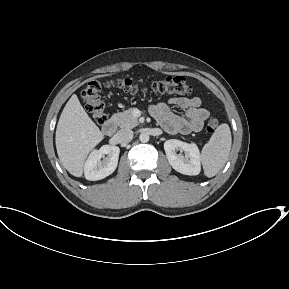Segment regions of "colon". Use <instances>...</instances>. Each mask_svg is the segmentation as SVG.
Instances as JSON below:
<instances>
[{"label":"colon","mask_w":289,"mask_h":289,"mask_svg":"<svg viewBox=\"0 0 289 289\" xmlns=\"http://www.w3.org/2000/svg\"><path fill=\"white\" fill-rule=\"evenodd\" d=\"M105 87H115L129 94H167V95H185L190 93L191 86L186 78L182 76H169L164 79L154 81L149 86H140L131 79H116L104 84ZM103 84L99 81H90L82 91V97L86 103L88 112L99 125L107 121L105 104L101 99ZM220 124L216 116L208 118L206 129L208 132H214Z\"/></svg>","instance_id":"1"}]
</instances>
